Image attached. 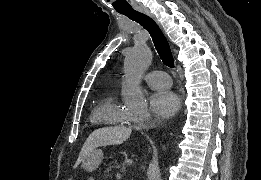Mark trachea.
<instances>
[{"label": "trachea", "mask_w": 261, "mask_h": 180, "mask_svg": "<svg viewBox=\"0 0 261 180\" xmlns=\"http://www.w3.org/2000/svg\"><path fill=\"white\" fill-rule=\"evenodd\" d=\"M121 15H125L126 17L130 18L134 22L139 23L145 28L152 37L156 50L164 63L167 67L174 68V58L169 46L165 35L161 31V28L157 25L150 16L145 15V13L138 12L137 10L130 9L126 11H119Z\"/></svg>", "instance_id": "1"}]
</instances>
